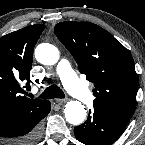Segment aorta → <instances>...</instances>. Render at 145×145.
Here are the masks:
<instances>
[{
  "instance_id": "762f6f07",
  "label": "aorta",
  "mask_w": 145,
  "mask_h": 145,
  "mask_svg": "<svg viewBox=\"0 0 145 145\" xmlns=\"http://www.w3.org/2000/svg\"><path fill=\"white\" fill-rule=\"evenodd\" d=\"M36 60L44 65H54L60 58L59 50L52 44L41 43L35 49ZM66 121L80 125L86 119V109L79 101H68L64 109Z\"/></svg>"
}]
</instances>
